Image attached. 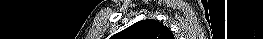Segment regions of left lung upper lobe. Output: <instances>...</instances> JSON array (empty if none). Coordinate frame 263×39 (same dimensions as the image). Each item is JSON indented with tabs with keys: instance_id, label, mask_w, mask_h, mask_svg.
<instances>
[{
	"instance_id": "obj_1",
	"label": "left lung upper lobe",
	"mask_w": 263,
	"mask_h": 39,
	"mask_svg": "<svg viewBox=\"0 0 263 39\" xmlns=\"http://www.w3.org/2000/svg\"><path fill=\"white\" fill-rule=\"evenodd\" d=\"M117 35L115 39H174L166 26L152 19L136 22Z\"/></svg>"
}]
</instances>
